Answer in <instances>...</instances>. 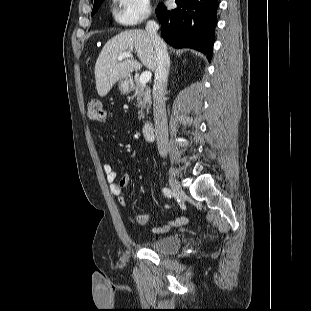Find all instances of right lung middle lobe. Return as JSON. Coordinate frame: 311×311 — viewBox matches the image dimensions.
<instances>
[{
    "label": "right lung middle lobe",
    "instance_id": "dd1d6c3e",
    "mask_svg": "<svg viewBox=\"0 0 311 311\" xmlns=\"http://www.w3.org/2000/svg\"><path fill=\"white\" fill-rule=\"evenodd\" d=\"M104 0H97L94 2V6H93V10H92V15H94L96 13V11L98 10V8L100 7V5L102 4Z\"/></svg>",
    "mask_w": 311,
    "mask_h": 311
}]
</instances>
